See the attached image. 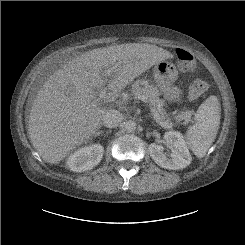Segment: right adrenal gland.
Listing matches in <instances>:
<instances>
[{
  "label": "right adrenal gland",
  "instance_id": "right-adrenal-gland-1",
  "mask_svg": "<svg viewBox=\"0 0 245 245\" xmlns=\"http://www.w3.org/2000/svg\"><path fill=\"white\" fill-rule=\"evenodd\" d=\"M104 133V131H98L96 134H95V137H97V136H99V135H101V134H103Z\"/></svg>",
  "mask_w": 245,
  "mask_h": 245
}]
</instances>
